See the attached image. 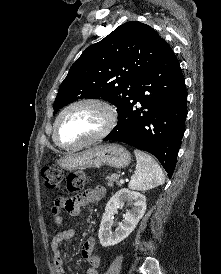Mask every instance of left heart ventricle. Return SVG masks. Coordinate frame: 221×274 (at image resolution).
Returning a JSON list of instances; mask_svg holds the SVG:
<instances>
[{"instance_id":"obj_1","label":"left heart ventricle","mask_w":221,"mask_h":274,"mask_svg":"<svg viewBox=\"0 0 221 274\" xmlns=\"http://www.w3.org/2000/svg\"><path fill=\"white\" fill-rule=\"evenodd\" d=\"M104 114L95 106H78L68 111L59 123L58 138L64 144L82 142L101 130Z\"/></svg>"}]
</instances>
